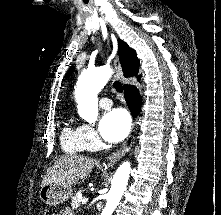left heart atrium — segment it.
<instances>
[{"instance_id":"left-heart-atrium-1","label":"left heart atrium","mask_w":221,"mask_h":215,"mask_svg":"<svg viewBox=\"0 0 221 215\" xmlns=\"http://www.w3.org/2000/svg\"><path fill=\"white\" fill-rule=\"evenodd\" d=\"M131 121L124 109H113L101 119L99 130L102 137L109 142H118L129 133Z\"/></svg>"}]
</instances>
